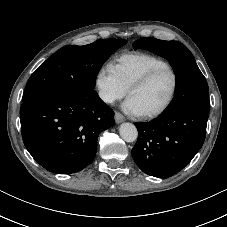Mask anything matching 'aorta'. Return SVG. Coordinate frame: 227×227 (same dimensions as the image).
Returning <instances> with one entry per match:
<instances>
[{"label":"aorta","mask_w":227,"mask_h":227,"mask_svg":"<svg viewBox=\"0 0 227 227\" xmlns=\"http://www.w3.org/2000/svg\"><path fill=\"white\" fill-rule=\"evenodd\" d=\"M121 138L126 142H134L137 140L138 131L132 123H122L119 128Z\"/></svg>","instance_id":"aorta-1"}]
</instances>
